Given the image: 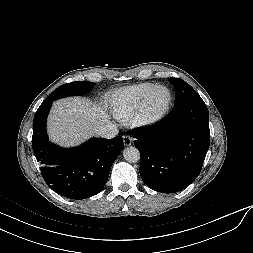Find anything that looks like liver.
I'll return each mask as SVG.
<instances>
[{
	"mask_svg": "<svg viewBox=\"0 0 253 253\" xmlns=\"http://www.w3.org/2000/svg\"><path fill=\"white\" fill-rule=\"evenodd\" d=\"M108 122V115L100 105L79 97L65 98L53 104L48 134L53 142L69 147L89 139L97 127Z\"/></svg>",
	"mask_w": 253,
	"mask_h": 253,
	"instance_id": "6515ba94",
	"label": "liver"
}]
</instances>
